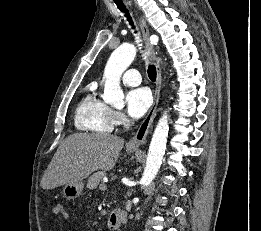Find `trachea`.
I'll return each instance as SVG.
<instances>
[{
  "mask_svg": "<svg viewBox=\"0 0 261 231\" xmlns=\"http://www.w3.org/2000/svg\"><path fill=\"white\" fill-rule=\"evenodd\" d=\"M118 9L121 10L122 12L125 13V16L127 17V20L129 21V24L132 26L133 29H135L133 20L128 12V10L125 8L124 4L120 0H114ZM148 77L150 78L151 81L156 80L157 72H156V67L154 65H149L148 66Z\"/></svg>",
  "mask_w": 261,
  "mask_h": 231,
  "instance_id": "3493384b",
  "label": "trachea"
}]
</instances>
